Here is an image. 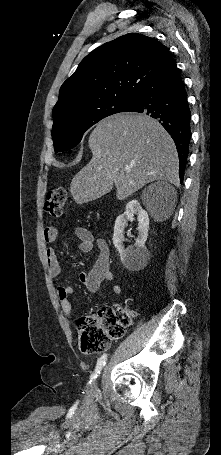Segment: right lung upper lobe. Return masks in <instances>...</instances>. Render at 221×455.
<instances>
[{"label":"right lung upper lobe","instance_id":"1","mask_svg":"<svg viewBox=\"0 0 221 455\" xmlns=\"http://www.w3.org/2000/svg\"><path fill=\"white\" fill-rule=\"evenodd\" d=\"M169 54L159 41L138 33L101 45L82 60L61 86L53 120L107 100L133 101Z\"/></svg>","mask_w":221,"mask_h":455}]
</instances>
